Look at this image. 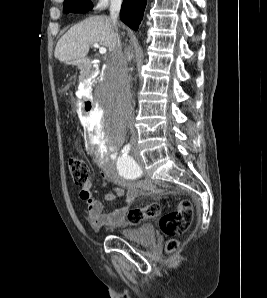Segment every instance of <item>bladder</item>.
<instances>
[{"mask_svg": "<svg viewBox=\"0 0 267 298\" xmlns=\"http://www.w3.org/2000/svg\"><path fill=\"white\" fill-rule=\"evenodd\" d=\"M118 235L127 241L141 245H150L155 241V232L151 225L122 229Z\"/></svg>", "mask_w": 267, "mask_h": 298, "instance_id": "1", "label": "bladder"}]
</instances>
